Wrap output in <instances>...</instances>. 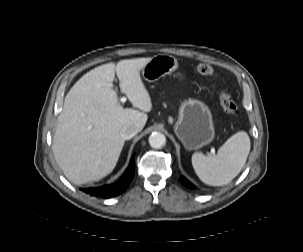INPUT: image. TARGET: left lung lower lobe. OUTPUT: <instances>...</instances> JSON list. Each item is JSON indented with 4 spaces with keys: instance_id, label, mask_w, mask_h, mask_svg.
Segmentation results:
<instances>
[{
    "instance_id": "left-lung-lower-lobe-1",
    "label": "left lung lower lobe",
    "mask_w": 303,
    "mask_h": 252,
    "mask_svg": "<svg viewBox=\"0 0 303 252\" xmlns=\"http://www.w3.org/2000/svg\"><path fill=\"white\" fill-rule=\"evenodd\" d=\"M180 181H181V183L183 184V185H185L186 187H189V188H191V189H194L195 188V186L193 185V184H191L186 178H184V177H181L180 178Z\"/></svg>"
}]
</instances>
